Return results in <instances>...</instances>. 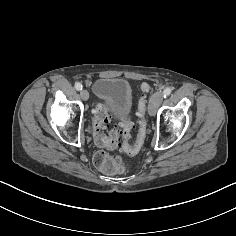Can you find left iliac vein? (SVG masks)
Here are the masks:
<instances>
[{"mask_svg": "<svg viewBox=\"0 0 236 236\" xmlns=\"http://www.w3.org/2000/svg\"><path fill=\"white\" fill-rule=\"evenodd\" d=\"M163 98H164V95L160 91L155 92L151 96L150 101H149V106H148V113L150 116H154L156 114L158 107L163 101Z\"/></svg>", "mask_w": 236, "mask_h": 236, "instance_id": "1", "label": "left iliac vein"}]
</instances>
